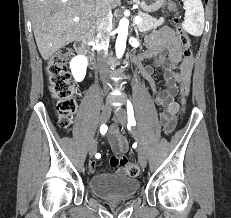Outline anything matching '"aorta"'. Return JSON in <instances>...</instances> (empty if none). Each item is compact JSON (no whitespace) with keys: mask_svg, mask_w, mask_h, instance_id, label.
<instances>
[{"mask_svg":"<svg viewBox=\"0 0 231 218\" xmlns=\"http://www.w3.org/2000/svg\"><path fill=\"white\" fill-rule=\"evenodd\" d=\"M128 26L129 21L126 18L120 20L118 27V36L116 39L115 51L117 58H122L125 48H126V40L128 36Z\"/></svg>","mask_w":231,"mask_h":218,"instance_id":"1","label":"aorta"}]
</instances>
